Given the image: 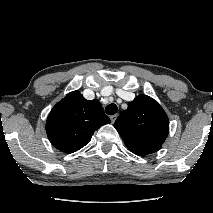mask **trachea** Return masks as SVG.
<instances>
[{"label": "trachea", "mask_w": 213, "mask_h": 213, "mask_svg": "<svg viewBox=\"0 0 213 213\" xmlns=\"http://www.w3.org/2000/svg\"><path fill=\"white\" fill-rule=\"evenodd\" d=\"M105 112L108 115H114L117 112V105L114 103L107 105L105 108Z\"/></svg>", "instance_id": "obj_1"}]
</instances>
